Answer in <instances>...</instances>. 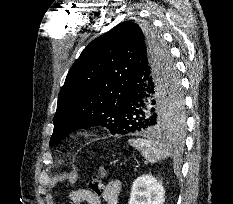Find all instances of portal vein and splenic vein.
<instances>
[{"label": "portal vein and splenic vein", "mask_w": 233, "mask_h": 204, "mask_svg": "<svg viewBox=\"0 0 233 204\" xmlns=\"http://www.w3.org/2000/svg\"><path fill=\"white\" fill-rule=\"evenodd\" d=\"M138 167H139V166H136L134 170L136 171V170L138 169Z\"/></svg>", "instance_id": "1"}]
</instances>
